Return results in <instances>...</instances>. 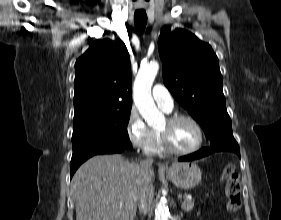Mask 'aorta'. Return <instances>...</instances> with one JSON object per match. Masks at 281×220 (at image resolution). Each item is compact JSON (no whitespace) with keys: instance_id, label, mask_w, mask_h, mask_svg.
<instances>
[{"instance_id":"obj_1","label":"aorta","mask_w":281,"mask_h":220,"mask_svg":"<svg viewBox=\"0 0 281 220\" xmlns=\"http://www.w3.org/2000/svg\"><path fill=\"white\" fill-rule=\"evenodd\" d=\"M159 64L156 61L142 66L136 76L133 87V99L141 116L149 126H155L163 120V114L157 109L151 94V87L158 73ZM169 209L160 201L155 210V220H168Z\"/></svg>"}]
</instances>
